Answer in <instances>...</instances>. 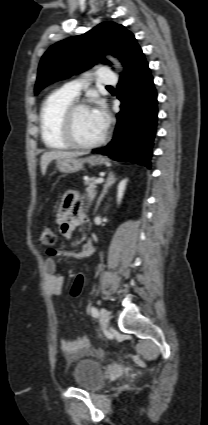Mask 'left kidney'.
Wrapping results in <instances>:
<instances>
[{
    "label": "left kidney",
    "instance_id": "5707ae66",
    "mask_svg": "<svg viewBox=\"0 0 208 425\" xmlns=\"http://www.w3.org/2000/svg\"><path fill=\"white\" fill-rule=\"evenodd\" d=\"M127 181H128L127 179H123L118 185V192H117L118 203L121 202V199L123 197V194H124V191H125V188H126Z\"/></svg>",
    "mask_w": 208,
    "mask_h": 425
}]
</instances>
